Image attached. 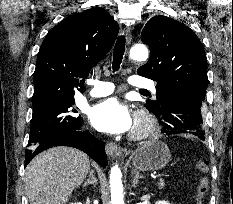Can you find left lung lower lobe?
<instances>
[{
    "label": "left lung lower lobe",
    "mask_w": 233,
    "mask_h": 204,
    "mask_svg": "<svg viewBox=\"0 0 233 204\" xmlns=\"http://www.w3.org/2000/svg\"><path fill=\"white\" fill-rule=\"evenodd\" d=\"M206 92L180 88L161 102L154 113L162 125L161 132L166 135L193 134L204 140L201 106Z\"/></svg>",
    "instance_id": "1"
}]
</instances>
